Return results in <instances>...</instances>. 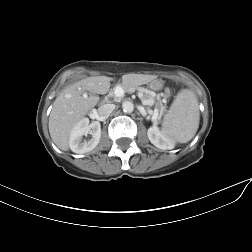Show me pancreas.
Returning <instances> with one entry per match:
<instances>
[{
    "instance_id": "cf45deb5",
    "label": "pancreas",
    "mask_w": 252,
    "mask_h": 252,
    "mask_svg": "<svg viewBox=\"0 0 252 252\" xmlns=\"http://www.w3.org/2000/svg\"><path fill=\"white\" fill-rule=\"evenodd\" d=\"M133 89H137V88H133ZM145 89V88H144ZM115 99H118V97H116L115 95H113Z\"/></svg>"
}]
</instances>
